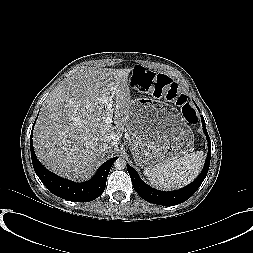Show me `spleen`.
I'll return each mask as SVG.
<instances>
[{
    "mask_svg": "<svg viewBox=\"0 0 253 253\" xmlns=\"http://www.w3.org/2000/svg\"><path fill=\"white\" fill-rule=\"evenodd\" d=\"M204 159L203 151L185 154L177 159L148 167L144 175L156 188H180L190 183L199 174Z\"/></svg>",
    "mask_w": 253,
    "mask_h": 253,
    "instance_id": "spleen-1",
    "label": "spleen"
}]
</instances>
